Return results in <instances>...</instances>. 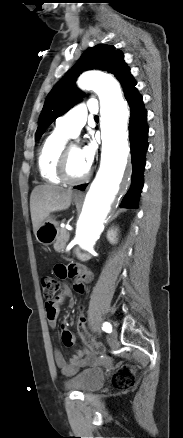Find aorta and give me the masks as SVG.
I'll list each match as a JSON object with an SVG mask.
<instances>
[{"mask_svg":"<svg viewBox=\"0 0 183 438\" xmlns=\"http://www.w3.org/2000/svg\"><path fill=\"white\" fill-rule=\"evenodd\" d=\"M81 89H92L100 100L102 154L77 221L75 240L83 250H91L104 228L112 203L120 189L129 155L127 124L129 110L119 83L100 72L83 73L77 82Z\"/></svg>","mask_w":183,"mask_h":438,"instance_id":"762f6f07","label":"aorta"}]
</instances>
